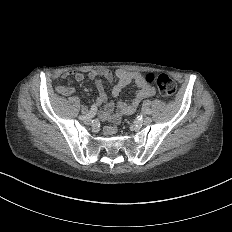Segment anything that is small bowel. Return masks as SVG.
Returning <instances> with one entry per match:
<instances>
[{
  "mask_svg": "<svg viewBox=\"0 0 232 232\" xmlns=\"http://www.w3.org/2000/svg\"><path fill=\"white\" fill-rule=\"evenodd\" d=\"M114 74L119 78V82L113 86L112 95L116 96L119 94L120 90L133 83L138 88L137 95L132 99L130 103L120 101L116 114L113 116L111 111L113 109V104L111 102L106 103V88L101 81H98V103L105 104L102 117L108 121H116L121 115H126L132 113L139 105L143 97H154L157 95V91L149 85L148 79L137 70H127V69H117L115 72L111 69H93L87 73L76 71V70H66L61 74L62 79L73 78L78 82H82L85 76L91 79L105 78L107 81H112ZM60 90L65 93H71L74 91L73 87L70 85H63ZM118 129L115 125L105 126L102 130V134L105 136L115 135Z\"/></svg>",
  "mask_w": 232,
  "mask_h": 232,
  "instance_id": "c3829d8e",
  "label": "small bowel"
}]
</instances>
